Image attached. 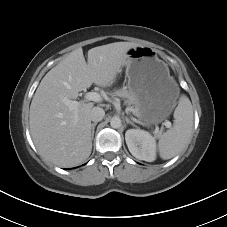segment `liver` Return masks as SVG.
Wrapping results in <instances>:
<instances>
[{
  "instance_id": "6515ba94",
  "label": "liver",
  "mask_w": 227,
  "mask_h": 227,
  "mask_svg": "<svg viewBox=\"0 0 227 227\" xmlns=\"http://www.w3.org/2000/svg\"><path fill=\"white\" fill-rule=\"evenodd\" d=\"M138 44L115 42L88 51L69 53L41 80L30 105L29 125L33 142L42 157L60 167H72L86 160L92 150L90 112L93 103L80 102L71 110L63 99H76L93 83L113 84L126 63L127 51Z\"/></svg>"
}]
</instances>
